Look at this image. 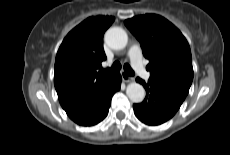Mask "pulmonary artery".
Returning <instances> with one entry per match:
<instances>
[{"label": "pulmonary artery", "mask_w": 230, "mask_h": 155, "mask_svg": "<svg viewBox=\"0 0 230 155\" xmlns=\"http://www.w3.org/2000/svg\"><path fill=\"white\" fill-rule=\"evenodd\" d=\"M127 56L136 73L143 78L148 79L150 74L145 69L140 46L138 44L131 45L127 51Z\"/></svg>", "instance_id": "1"}]
</instances>
